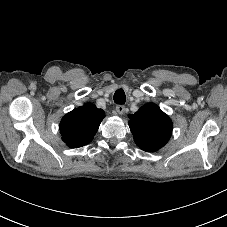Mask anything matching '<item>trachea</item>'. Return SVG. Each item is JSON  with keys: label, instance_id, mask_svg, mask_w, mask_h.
Wrapping results in <instances>:
<instances>
[{"label": "trachea", "instance_id": "obj_1", "mask_svg": "<svg viewBox=\"0 0 227 227\" xmlns=\"http://www.w3.org/2000/svg\"><path fill=\"white\" fill-rule=\"evenodd\" d=\"M125 101H126L125 92L122 88H120L114 94V102L116 104H124Z\"/></svg>", "mask_w": 227, "mask_h": 227}]
</instances>
